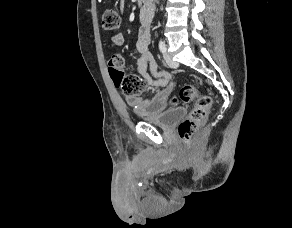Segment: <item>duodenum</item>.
I'll return each mask as SVG.
<instances>
[{
	"instance_id": "410a0bca",
	"label": "duodenum",
	"mask_w": 292,
	"mask_h": 228,
	"mask_svg": "<svg viewBox=\"0 0 292 228\" xmlns=\"http://www.w3.org/2000/svg\"><path fill=\"white\" fill-rule=\"evenodd\" d=\"M140 2L144 7H150L152 0H140Z\"/></svg>"
}]
</instances>
